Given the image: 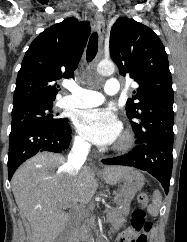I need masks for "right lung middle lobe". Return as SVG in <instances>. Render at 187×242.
<instances>
[{
  "label": "right lung middle lobe",
  "instance_id": "dd1d6c3e",
  "mask_svg": "<svg viewBox=\"0 0 187 242\" xmlns=\"http://www.w3.org/2000/svg\"><path fill=\"white\" fill-rule=\"evenodd\" d=\"M53 102H29L16 105L12 109V128L21 126L62 127L68 123L67 118L57 117L52 111Z\"/></svg>",
  "mask_w": 187,
  "mask_h": 242
}]
</instances>
